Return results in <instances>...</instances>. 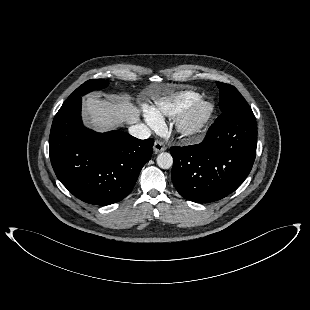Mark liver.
Masks as SVG:
<instances>
[{
	"label": "liver",
	"instance_id": "6515ba94",
	"mask_svg": "<svg viewBox=\"0 0 310 310\" xmlns=\"http://www.w3.org/2000/svg\"><path fill=\"white\" fill-rule=\"evenodd\" d=\"M87 124L94 130L104 132L123 123L135 124L140 120V110L128 98L110 102L89 95L84 101Z\"/></svg>",
	"mask_w": 310,
	"mask_h": 310
}]
</instances>
